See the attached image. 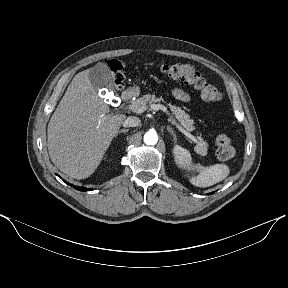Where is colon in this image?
<instances>
[{
  "instance_id": "colon-1",
  "label": "colon",
  "mask_w": 288,
  "mask_h": 288,
  "mask_svg": "<svg viewBox=\"0 0 288 288\" xmlns=\"http://www.w3.org/2000/svg\"><path fill=\"white\" fill-rule=\"evenodd\" d=\"M109 67L112 72L113 82L117 89H122L125 84V75L123 64L118 60L109 61ZM161 72L168 78L179 80L185 84L197 89L201 97L210 103H216L221 100V92L212 84L208 83L205 78L192 66L186 64H163ZM216 155L221 160L231 159L235 150L232 145V139L227 134H219L215 140Z\"/></svg>"
}]
</instances>
